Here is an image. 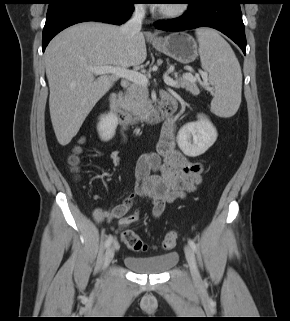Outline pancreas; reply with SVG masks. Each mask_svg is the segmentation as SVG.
<instances>
[{
  "instance_id": "pancreas-1",
  "label": "pancreas",
  "mask_w": 290,
  "mask_h": 321,
  "mask_svg": "<svg viewBox=\"0 0 290 321\" xmlns=\"http://www.w3.org/2000/svg\"><path fill=\"white\" fill-rule=\"evenodd\" d=\"M176 78L175 88H185L193 95L199 94V88L196 84V80L186 79L178 77L177 73H174ZM122 107L131 112L133 115L142 117L151 109V101L149 100V92L147 86L132 83L124 93V97L121 101Z\"/></svg>"
}]
</instances>
